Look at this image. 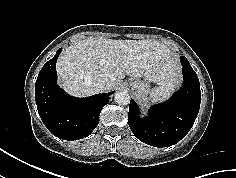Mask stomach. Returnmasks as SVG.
I'll use <instances>...</instances> for the list:
<instances>
[{"mask_svg":"<svg viewBox=\"0 0 236 178\" xmlns=\"http://www.w3.org/2000/svg\"><path fill=\"white\" fill-rule=\"evenodd\" d=\"M133 96L139 100H145L150 91L149 83L139 79H130L128 83Z\"/></svg>","mask_w":236,"mask_h":178,"instance_id":"0dacf381","label":"stomach"}]
</instances>
